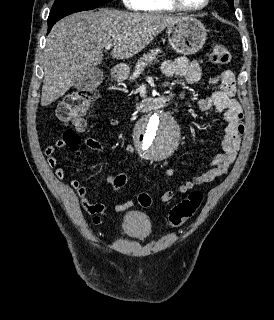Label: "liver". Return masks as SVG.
<instances>
[{
    "instance_id": "1",
    "label": "liver",
    "mask_w": 274,
    "mask_h": 320,
    "mask_svg": "<svg viewBox=\"0 0 274 320\" xmlns=\"http://www.w3.org/2000/svg\"><path fill=\"white\" fill-rule=\"evenodd\" d=\"M182 16L139 14L100 8L63 18L47 36L41 106L64 96L82 70L102 64L101 52L113 44L112 58L128 60L144 50L165 28Z\"/></svg>"
}]
</instances>
